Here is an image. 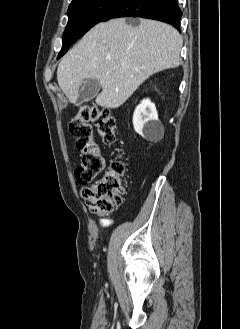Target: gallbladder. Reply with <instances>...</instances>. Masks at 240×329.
<instances>
[{"mask_svg": "<svg viewBox=\"0 0 240 329\" xmlns=\"http://www.w3.org/2000/svg\"><path fill=\"white\" fill-rule=\"evenodd\" d=\"M101 89L97 79H88L84 82L78 96V103L82 104L93 99Z\"/></svg>", "mask_w": 240, "mask_h": 329, "instance_id": "1", "label": "gallbladder"}]
</instances>
